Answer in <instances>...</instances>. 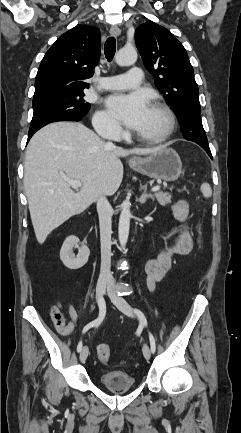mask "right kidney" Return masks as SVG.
Here are the masks:
<instances>
[{
    "label": "right kidney",
    "instance_id": "obj_1",
    "mask_svg": "<svg viewBox=\"0 0 241 433\" xmlns=\"http://www.w3.org/2000/svg\"><path fill=\"white\" fill-rule=\"evenodd\" d=\"M73 248H78V255L75 256ZM90 250L85 245H80V241L75 236H69L65 239L61 250L60 259L63 264L71 270H77L83 267L89 258Z\"/></svg>",
    "mask_w": 241,
    "mask_h": 433
}]
</instances>
